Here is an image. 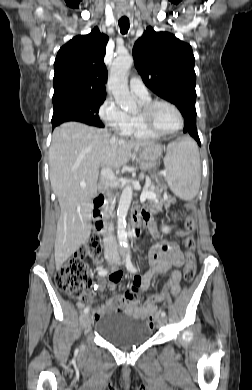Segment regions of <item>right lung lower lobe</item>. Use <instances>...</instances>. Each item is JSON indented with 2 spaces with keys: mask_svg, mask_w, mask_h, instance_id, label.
Masks as SVG:
<instances>
[{
  "mask_svg": "<svg viewBox=\"0 0 252 390\" xmlns=\"http://www.w3.org/2000/svg\"><path fill=\"white\" fill-rule=\"evenodd\" d=\"M59 124H61V123L53 124L52 126H53V128H54V127L58 126Z\"/></svg>",
  "mask_w": 252,
  "mask_h": 390,
  "instance_id": "right-lung-lower-lobe-1",
  "label": "right lung lower lobe"
}]
</instances>
